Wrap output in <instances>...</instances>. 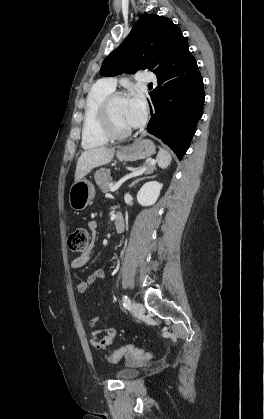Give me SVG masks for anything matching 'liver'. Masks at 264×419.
Listing matches in <instances>:
<instances>
[{
  "label": "liver",
  "mask_w": 264,
  "mask_h": 419,
  "mask_svg": "<svg viewBox=\"0 0 264 419\" xmlns=\"http://www.w3.org/2000/svg\"><path fill=\"white\" fill-rule=\"evenodd\" d=\"M114 153L115 147H98L82 152L76 165L75 182L83 179L93 168L110 163Z\"/></svg>",
  "instance_id": "6515ba94"
}]
</instances>
